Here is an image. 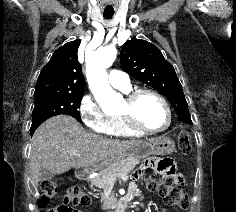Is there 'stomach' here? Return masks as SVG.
Instances as JSON below:
<instances>
[{
    "label": "stomach",
    "instance_id": "stomach-1",
    "mask_svg": "<svg viewBox=\"0 0 236 212\" xmlns=\"http://www.w3.org/2000/svg\"><path fill=\"white\" fill-rule=\"evenodd\" d=\"M174 149L175 145L170 138L166 136L155 137L149 139L148 141H144L142 144L132 148L123 156L107 160L104 165L96 169L101 170L105 167H109L125 157L139 161L140 159H146L152 155L170 154L174 151ZM77 176L80 177L79 171L77 172Z\"/></svg>",
    "mask_w": 236,
    "mask_h": 212
}]
</instances>
